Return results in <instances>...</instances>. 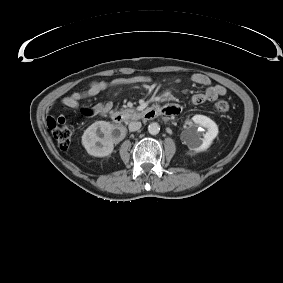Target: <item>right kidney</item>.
<instances>
[{"mask_svg":"<svg viewBox=\"0 0 283 283\" xmlns=\"http://www.w3.org/2000/svg\"><path fill=\"white\" fill-rule=\"evenodd\" d=\"M124 137L113 124L106 121H96L82 135V145L89 155L95 157L109 156Z\"/></svg>","mask_w":283,"mask_h":283,"instance_id":"1","label":"right kidney"}]
</instances>
